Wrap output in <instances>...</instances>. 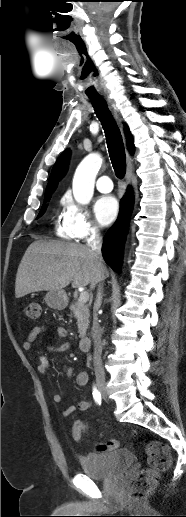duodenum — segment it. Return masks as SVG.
I'll return each mask as SVG.
<instances>
[{
    "mask_svg": "<svg viewBox=\"0 0 186 517\" xmlns=\"http://www.w3.org/2000/svg\"><path fill=\"white\" fill-rule=\"evenodd\" d=\"M79 348L81 351L88 352L91 348V338L88 336L79 339Z\"/></svg>",
    "mask_w": 186,
    "mask_h": 517,
    "instance_id": "duodenum-1",
    "label": "duodenum"
}]
</instances>
